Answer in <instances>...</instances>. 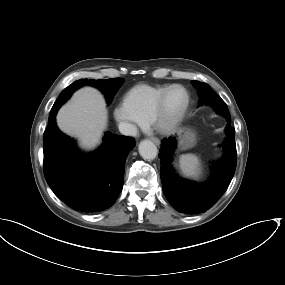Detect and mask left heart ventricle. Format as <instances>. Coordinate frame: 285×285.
<instances>
[{"instance_id":"obj_1","label":"left heart ventricle","mask_w":285,"mask_h":285,"mask_svg":"<svg viewBox=\"0 0 285 285\" xmlns=\"http://www.w3.org/2000/svg\"><path fill=\"white\" fill-rule=\"evenodd\" d=\"M186 100V95L181 89H173L167 100L166 118L170 119L175 116L183 107Z\"/></svg>"}]
</instances>
